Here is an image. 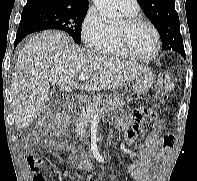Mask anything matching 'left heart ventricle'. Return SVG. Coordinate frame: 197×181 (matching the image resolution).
Returning <instances> with one entry per match:
<instances>
[{"label":"left heart ventricle","instance_id":"left-heart-ventricle-1","mask_svg":"<svg viewBox=\"0 0 197 181\" xmlns=\"http://www.w3.org/2000/svg\"><path fill=\"white\" fill-rule=\"evenodd\" d=\"M123 28L124 22L117 27L118 30ZM128 44L134 53L147 56L154 51L156 39L152 30L147 25L141 24L128 32Z\"/></svg>","mask_w":197,"mask_h":181}]
</instances>
